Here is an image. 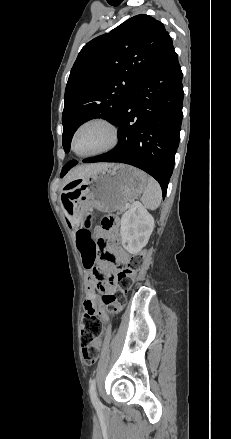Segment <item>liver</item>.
I'll return each instance as SVG.
<instances>
[{"label": "liver", "instance_id": "liver-1", "mask_svg": "<svg viewBox=\"0 0 231 439\" xmlns=\"http://www.w3.org/2000/svg\"><path fill=\"white\" fill-rule=\"evenodd\" d=\"M113 164L109 163H94V164H88V165H78L74 168H72L67 175L64 177L63 185L68 184L69 182L81 179V178H87L91 176L94 173H97L107 167L112 166Z\"/></svg>", "mask_w": 231, "mask_h": 439}]
</instances>
